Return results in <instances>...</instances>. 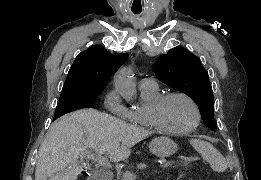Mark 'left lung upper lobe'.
<instances>
[{"instance_id":"1","label":"left lung upper lobe","mask_w":261,"mask_h":180,"mask_svg":"<svg viewBox=\"0 0 261 180\" xmlns=\"http://www.w3.org/2000/svg\"><path fill=\"white\" fill-rule=\"evenodd\" d=\"M155 74L163 83L192 98L205 124L215 130L212 87L198 57L182 47H175L156 61Z\"/></svg>"}]
</instances>
